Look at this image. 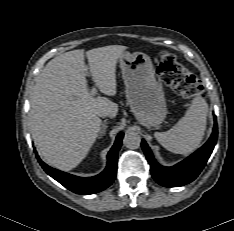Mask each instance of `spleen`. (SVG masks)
<instances>
[{"label":"spleen","instance_id":"obj_1","mask_svg":"<svg viewBox=\"0 0 234 231\" xmlns=\"http://www.w3.org/2000/svg\"><path fill=\"white\" fill-rule=\"evenodd\" d=\"M208 104L196 96L175 126L166 132H155L156 140L168 151L188 154L195 150L203 139L206 129Z\"/></svg>","mask_w":234,"mask_h":231}]
</instances>
